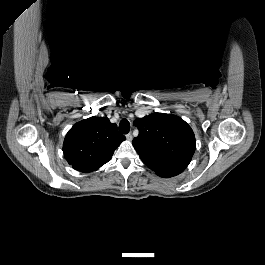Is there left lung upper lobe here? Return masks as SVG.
<instances>
[{"label": "left lung upper lobe", "instance_id": "5c2ea615", "mask_svg": "<svg viewBox=\"0 0 265 265\" xmlns=\"http://www.w3.org/2000/svg\"><path fill=\"white\" fill-rule=\"evenodd\" d=\"M139 136L133 146L143 163L152 170L176 163H190L195 151V136L180 117L153 113L134 121Z\"/></svg>", "mask_w": 265, "mask_h": 265}]
</instances>
